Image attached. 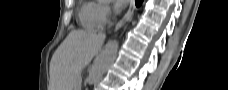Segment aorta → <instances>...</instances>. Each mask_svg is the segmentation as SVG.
<instances>
[{
	"label": "aorta",
	"instance_id": "762f6f07",
	"mask_svg": "<svg viewBox=\"0 0 228 90\" xmlns=\"http://www.w3.org/2000/svg\"><path fill=\"white\" fill-rule=\"evenodd\" d=\"M118 52V42H109L100 56L97 58L87 82L89 84L97 82L114 62Z\"/></svg>",
	"mask_w": 228,
	"mask_h": 90
}]
</instances>
